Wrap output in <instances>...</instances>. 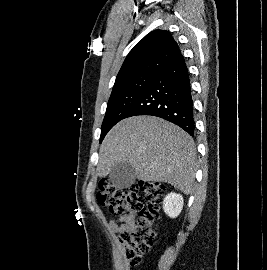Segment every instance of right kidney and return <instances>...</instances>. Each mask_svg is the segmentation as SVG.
<instances>
[{
	"instance_id": "obj_1",
	"label": "right kidney",
	"mask_w": 267,
	"mask_h": 270,
	"mask_svg": "<svg viewBox=\"0 0 267 270\" xmlns=\"http://www.w3.org/2000/svg\"><path fill=\"white\" fill-rule=\"evenodd\" d=\"M184 200L182 195L168 194L163 201L164 212L171 218H176L182 211Z\"/></svg>"
}]
</instances>
